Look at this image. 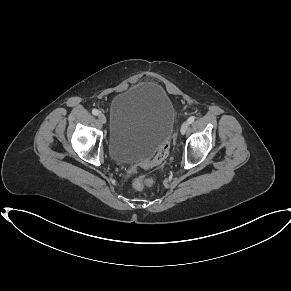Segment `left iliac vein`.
Here are the masks:
<instances>
[{"label": "left iliac vein", "mask_w": 291, "mask_h": 291, "mask_svg": "<svg viewBox=\"0 0 291 291\" xmlns=\"http://www.w3.org/2000/svg\"><path fill=\"white\" fill-rule=\"evenodd\" d=\"M188 128H189V122H188V121H185V122L181 125V129H180L181 134H185L186 131L188 130Z\"/></svg>", "instance_id": "4c4485c4"}]
</instances>
